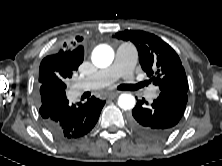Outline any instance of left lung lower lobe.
I'll return each instance as SVG.
<instances>
[{
  "label": "left lung lower lobe",
  "instance_id": "1",
  "mask_svg": "<svg viewBox=\"0 0 222 166\" xmlns=\"http://www.w3.org/2000/svg\"><path fill=\"white\" fill-rule=\"evenodd\" d=\"M187 92L183 89L167 88L161 90L159 97L151 105L144 99L138 100L130 118L132 129L149 139L168 136L184 113L188 100Z\"/></svg>",
  "mask_w": 222,
  "mask_h": 166
}]
</instances>
